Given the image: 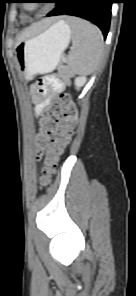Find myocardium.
Returning <instances> with one entry per match:
<instances>
[{"instance_id":"1","label":"myocardium","mask_w":136,"mask_h":296,"mask_svg":"<svg viewBox=\"0 0 136 296\" xmlns=\"http://www.w3.org/2000/svg\"><path fill=\"white\" fill-rule=\"evenodd\" d=\"M24 6L30 10H33L35 8L34 4H32V3H26V4H24Z\"/></svg>"}]
</instances>
